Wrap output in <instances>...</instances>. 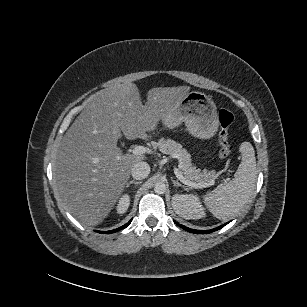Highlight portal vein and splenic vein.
I'll use <instances>...</instances> for the list:
<instances>
[{"mask_svg":"<svg viewBox=\"0 0 307 307\" xmlns=\"http://www.w3.org/2000/svg\"><path fill=\"white\" fill-rule=\"evenodd\" d=\"M133 153L136 154V155H144V154L149 153V148L146 147V146L139 145V146H136L133 149ZM173 170H174L175 176L178 177V179L181 180L182 182H184L186 185H188L192 188H204L205 187L204 183L199 184V183H194V182L188 181L186 178L183 177L180 169L177 166H174Z\"/></svg>","mask_w":307,"mask_h":307,"instance_id":"obj_1","label":"portal vein and splenic vein"}]
</instances>
